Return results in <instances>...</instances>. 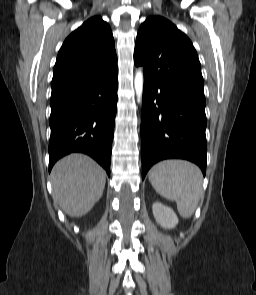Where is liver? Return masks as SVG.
Wrapping results in <instances>:
<instances>
[{
  "mask_svg": "<svg viewBox=\"0 0 256 295\" xmlns=\"http://www.w3.org/2000/svg\"><path fill=\"white\" fill-rule=\"evenodd\" d=\"M51 182L54 201L69 216L81 217L101 198L106 173L90 157L71 154L54 165Z\"/></svg>",
  "mask_w": 256,
  "mask_h": 295,
  "instance_id": "1",
  "label": "liver"
}]
</instances>
